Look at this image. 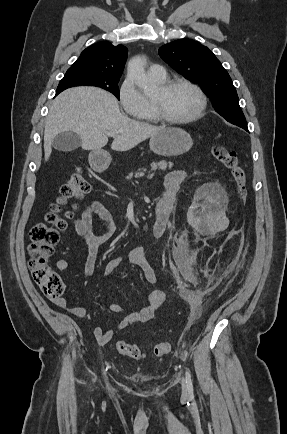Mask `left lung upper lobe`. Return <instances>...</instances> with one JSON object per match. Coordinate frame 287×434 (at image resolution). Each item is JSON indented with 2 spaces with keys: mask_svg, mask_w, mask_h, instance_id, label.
Instances as JSON below:
<instances>
[{
  "mask_svg": "<svg viewBox=\"0 0 287 434\" xmlns=\"http://www.w3.org/2000/svg\"><path fill=\"white\" fill-rule=\"evenodd\" d=\"M159 55L178 73L201 85L216 111L227 121H246L229 74L206 46L180 39L160 47Z\"/></svg>",
  "mask_w": 287,
  "mask_h": 434,
  "instance_id": "left-lung-upper-lobe-1",
  "label": "left lung upper lobe"
}]
</instances>
